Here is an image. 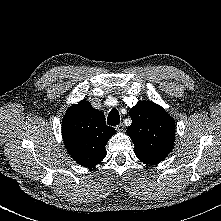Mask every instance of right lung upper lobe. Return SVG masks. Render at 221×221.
Returning <instances> with one entry per match:
<instances>
[{"label":"right lung upper lobe","mask_w":221,"mask_h":221,"mask_svg":"<svg viewBox=\"0 0 221 221\" xmlns=\"http://www.w3.org/2000/svg\"><path fill=\"white\" fill-rule=\"evenodd\" d=\"M114 134L115 129L105 124L104 114L86 101L72 105L62 120L63 141L68 154L87 168L105 158V145Z\"/></svg>","instance_id":"right-lung-upper-lobe-1"}]
</instances>
